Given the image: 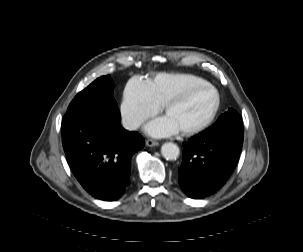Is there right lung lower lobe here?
<instances>
[{"label": "right lung lower lobe", "instance_id": "98d812e1", "mask_svg": "<svg viewBox=\"0 0 303 252\" xmlns=\"http://www.w3.org/2000/svg\"><path fill=\"white\" fill-rule=\"evenodd\" d=\"M61 128L68 164L84 189L101 200L120 198L130 183L132 155L145 141L122 128L117 104L101 102L66 113Z\"/></svg>", "mask_w": 303, "mask_h": 252}]
</instances>
